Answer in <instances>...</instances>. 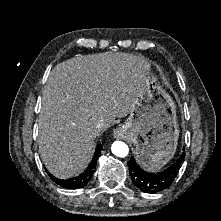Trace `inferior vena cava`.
<instances>
[{
  "label": "inferior vena cava",
  "instance_id": "602c4592",
  "mask_svg": "<svg viewBox=\"0 0 221 221\" xmlns=\"http://www.w3.org/2000/svg\"><path fill=\"white\" fill-rule=\"evenodd\" d=\"M104 128V122L103 121H99L96 125V129L97 130H102Z\"/></svg>",
  "mask_w": 221,
  "mask_h": 221
}]
</instances>
